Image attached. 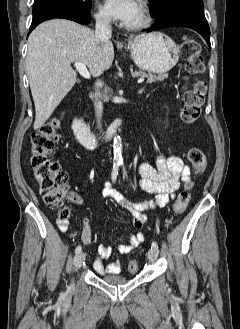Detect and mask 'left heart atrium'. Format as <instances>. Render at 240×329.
I'll return each instance as SVG.
<instances>
[{"instance_id": "1", "label": "left heart atrium", "mask_w": 240, "mask_h": 329, "mask_svg": "<svg viewBox=\"0 0 240 329\" xmlns=\"http://www.w3.org/2000/svg\"><path fill=\"white\" fill-rule=\"evenodd\" d=\"M105 12L123 22L130 21L138 11V4L136 0H105Z\"/></svg>"}]
</instances>
